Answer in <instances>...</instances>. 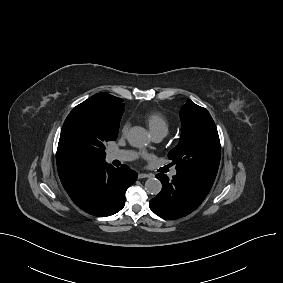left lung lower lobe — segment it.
I'll use <instances>...</instances> for the list:
<instances>
[{"label":"left lung lower lobe","instance_id":"left-lung-lower-lobe-1","mask_svg":"<svg viewBox=\"0 0 283 283\" xmlns=\"http://www.w3.org/2000/svg\"><path fill=\"white\" fill-rule=\"evenodd\" d=\"M162 183L161 192L149 202L150 209L158 216L178 219L196 210L210 190L185 175L176 174L169 180L165 174H157Z\"/></svg>","mask_w":283,"mask_h":283}]
</instances>
